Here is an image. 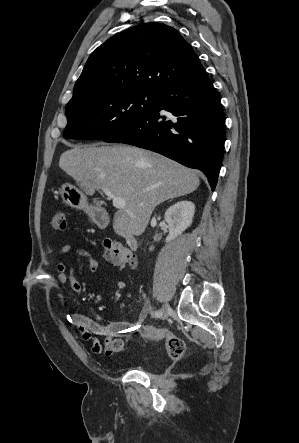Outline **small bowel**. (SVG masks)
I'll list each match as a JSON object with an SVG mask.
<instances>
[{
	"instance_id": "obj_1",
	"label": "small bowel",
	"mask_w": 299,
	"mask_h": 443,
	"mask_svg": "<svg viewBox=\"0 0 299 443\" xmlns=\"http://www.w3.org/2000/svg\"><path fill=\"white\" fill-rule=\"evenodd\" d=\"M69 250L70 246L64 245L59 251L60 256L64 257ZM79 254L87 259L88 268L92 273L98 271L99 262L90 253L85 250H80ZM57 272V289L59 300L64 303L65 297L62 290L66 286H69L77 296H80L82 293V286L77 280L73 268L69 267L64 261H61L57 265ZM150 311L151 307L147 302L140 312L138 321L134 324L125 321H114L103 325L98 321L76 311L72 312L71 319L76 329L80 333L81 338L90 343L93 353L111 357L114 354L120 353L124 350L125 342L123 341L122 337L140 332L141 325ZM99 336L104 337L103 342L100 341L98 338Z\"/></svg>"
}]
</instances>
